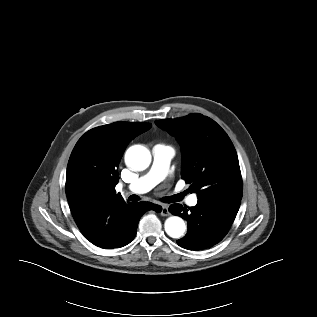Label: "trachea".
Instances as JSON below:
<instances>
[{
	"instance_id": "obj_1",
	"label": "trachea",
	"mask_w": 317,
	"mask_h": 317,
	"mask_svg": "<svg viewBox=\"0 0 317 317\" xmlns=\"http://www.w3.org/2000/svg\"><path fill=\"white\" fill-rule=\"evenodd\" d=\"M182 196H183V194H179V195H176V196H173V197H167V198H164L163 201H165V202H175V201H178ZM129 200L133 201V202H136V201L139 200V197L137 195H131L129 197Z\"/></svg>"
}]
</instances>
